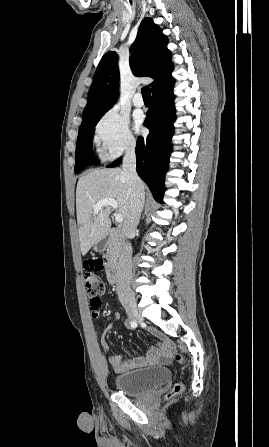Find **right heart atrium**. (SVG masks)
Returning <instances> with one entry per match:
<instances>
[{"label": "right heart atrium", "instance_id": "right-heart-atrium-1", "mask_svg": "<svg viewBox=\"0 0 269 447\" xmlns=\"http://www.w3.org/2000/svg\"><path fill=\"white\" fill-rule=\"evenodd\" d=\"M94 143L105 159H115L124 151L134 149L136 138L128 116L117 107L107 110L95 126Z\"/></svg>", "mask_w": 269, "mask_h": 447}]
</instances>
